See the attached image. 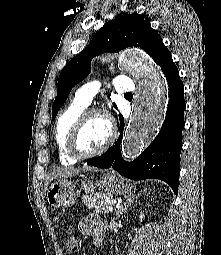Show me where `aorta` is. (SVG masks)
I'll return each instance as SVG.
<instances>
[{
  "label": "aorta",
  "mask_w": 221,
  "mask_h": 255,
  "mask_svg": "<svg viewBox=\"0 0 221 255\" xmlns=\"http://www.w3.org/2000/svg\"><path fill=\"white\" fill-rule=\"evenodd\" d=\"M118 66L129 72L139 84L122 143L123 157L133 159L154 140L163 124L167 86L154 61L141 50L122 52Z\"/></svg>",
  "instance_id": "1"
}]
</instances>
